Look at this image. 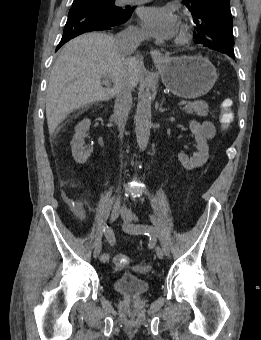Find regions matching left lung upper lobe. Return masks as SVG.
<instances>
[{
  "label": "left lung upper lobe",
  "instance_id": "1",
  "mask_svg": "<svg viewBox=\"0 0 261 340\" xmlns=\"http://www.w3.org/2000/svg\"><path fill=\"white\" fill-rule=\"evenodd\" d=\"M196 43L221 52L234 53V37L229 0H189Z\"/></svg>",
  "mask_w": 261,
  "mask_h": 340
}]
</instances>
